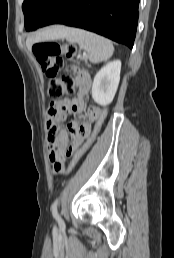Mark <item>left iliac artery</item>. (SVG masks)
<instances>
[{"instance_id":"left-iliac-artery-1","label":"left iliac artery","mask_w":174,"mask_h":258,"mask_svg":"<svg viewBox=\"0 0 174 258\" xmlns=\"http://www.w3.org/2000/svg\"><path fill=\"white\" fill-rule=\"evenodd\" d=\"M58 202H59V199L57 198L54 203L52 204V214L54 217H58V211H57V206H58Z\"/></svg>"}]
</instances>
